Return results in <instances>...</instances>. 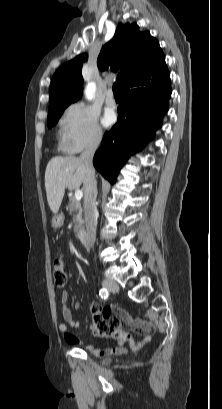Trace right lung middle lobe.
Segmentation results:
<instances>
[{"instance_id": "obj_1", "label": "right lung middle lobe", "mask_w": 222, "mask_h": 409, "mask_svg": "<svg viewBox=\"0 0 222 409\" xmlns=\"http://www.w3.org/2000/svg\"><path fill=\"white\" fill-rule=\"evenodd\" d=\"M66 107H61V108H57V109H53L49 111L48 122H47V125L49 128L53 127L58 122L60 116L62 115Z\"/></svg>"}]
</instances>
